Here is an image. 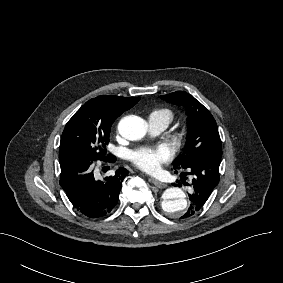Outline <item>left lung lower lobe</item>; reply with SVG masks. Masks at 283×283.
Wrapping results in <instances>:
<instances>
[{
    "mask_svg": "<svg viewBox=\"0 0 283 283\" xmlns=\"http://www.w3.org/2000/svg\"><path fill=\"white\" fill-rule=\"evenodd\" d=\"M220 154H208L200 157L186 168L174 166V169H187L192 176L193 192L189 194L190 207L181 218H187L197 213L206 203L213 189L219 182ZM186 179L181 175V181Z\"/></svg>",
    "mask_w": 283,
    "mask_h": 283,
    "instance_id": "left-lung-lower-lobe-1",
    "label": "left lung lower lobe"
}]
</instances>
